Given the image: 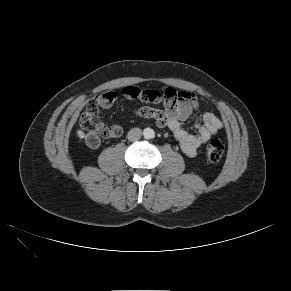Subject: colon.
<instances>
[{"label": "colon", "mask_w": 291, "mask_h": 291, "mask_svg": "<svg viewBox=\"0 0 291 291\" xmlns=\"http://www.w3.org/2000/svg\"><path fill=\"white\" fill-rule=\"evenodd\" d=\"M154 96L150 98L153 100ZM121 103L126 101L124 96L119 98ZM98 110V101L92 99L88 102L85 113L81 116L80 124L85 130V141L88 145L95 146L99 142V137H115L121 132L117 128L105 126L96 116ZM225 150V144L221 139H212L206 146L205 155L210 162H218Z\"/></svg>", "instance_id": "obj_1"}]
</instances>
